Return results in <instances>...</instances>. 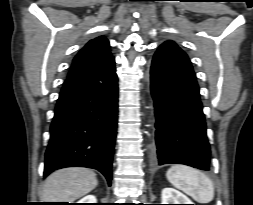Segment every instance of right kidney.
I'll return each mask as SVG.
<instances>
[{"mask_svg":"<svg viewBox=\"0 0 253 205\" xmlns=\"http://www.w3.org/2000/svg\"><path fill=\"white\" fill-rule=\"evenodd\" d=\"M77 203H97V199L94 195H87L80 199Z\"/></svg>","mask_w":253,"mask_h":205,"instance_id":"ca27d5eb","label":"right kidney"}]
</instances>
